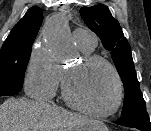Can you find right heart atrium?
Wrapping results in <instances>:
<instances>
[{
    "mask_svg": "<svg viewBox=\"0 0 151 131\" xmlns=\"http://www.w3.org/2000/svg\"><path fill=\"white\" fill-rule=\"evenodd\" d=\"M62 69L50 53L35 48L29 58L24 86L27 94L36 99H48L55 95L62 80Z\"/></svg>",
    "mask_w": 151,
    "mask_h": 131,
    "instance_id": "d8ad5b80",
    "label": "right heart atrium"
}]
</instances>
